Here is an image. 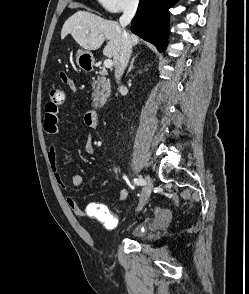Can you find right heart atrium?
I'll return each instance as SVG.
<instances>
[{"mask_svg":"<svg viewBox=\"0 0 249 294\" xmlns=\"http://www.w3.org/2000/svg\"><path fill=\"white\" fill-rule=\"evenodd\" d=\"M109 12L133 10L138 6L139 0H98Z\"/></svg>","mask_w":249,"mask_h":294,"instance_id":"d8ad5b80","label":"right heart atrium"}]
</instances>
